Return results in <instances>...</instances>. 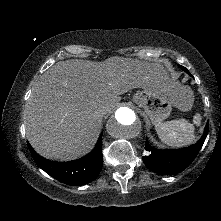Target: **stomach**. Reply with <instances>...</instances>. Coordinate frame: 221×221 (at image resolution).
Returning a JSON list of instances; mask_svg holds the SVG:
<instances>
[{"label":"stomach","instance_id":"0dacf381","mask_svg":"<svg viewBox=\"0 0 221 221\" xmlns=\"http://www.w3.org/2000/svg\"><path fill=\"white\" fill-rule=\"evenodd\" d=\"M192 93L190 89L177 83L167 81L166 92L161 93L156 89L146 88L137 91L133 102L144 108L151 121L156 124L165 120L171 113L172 107L178 103V108L188 111L192 106Z\"/></svg>","mask_w":221,"mask_h":221}]
</instances>
